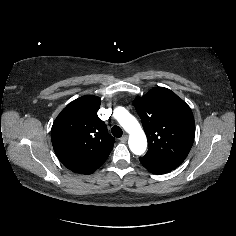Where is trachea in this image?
Listing matches in <instances>:
<instances>
[{
	"instance_id": "1",
	"label": "trachea",
	"mask_w": 236,
	"mask_h": 236,
	"mask_svg": "<svg viewBox=\"0 0 236 236\" xmlns=\"http://www.w3.org/2000/svg\"><path fill=\"white\" fill-rule=\"evenodd\" d=\"M111 132H112L113 136H115L117 138H120L123 134L122 129L116 125L112 127Z\"/></svg>"
}]
</instances>
